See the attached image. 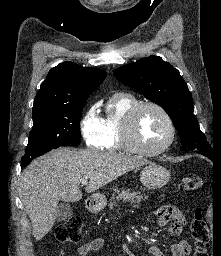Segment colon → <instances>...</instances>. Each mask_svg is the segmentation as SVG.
I'll use <instances>...</instances> for the list:
<instances>
[{
  "mask_svg": "<svg viewBox=\"0 0 221 256\" xmlns=\"http://www.w3.org/2000/svg\"><path fill=\"white\" fill-rule=\"evenodd\" d=\"M202 186L203 180L199 176L191 175L181 181L179 188L182 192L187 193L198 190ZM81 228V220L77 217H71L56 227L55 235L61 242L75 243L81 239ZM191 234L195 246L194 256H208L209 235L200 209L196 210L191 223Z\"/></svg>",
  "mask_w": 221,
  "mask_h": 256,
  "instance_id": "5ec220e1",
  "label": "colon"
}]
</instances>
